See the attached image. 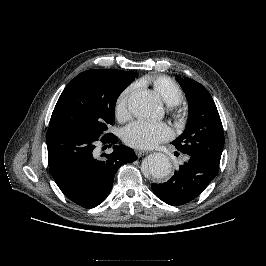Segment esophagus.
Masks as SVG:
<instances>
[{
  "label": "esophagus",
  "mask_w": 266,
  "mask_h": 266,
  "mask_svg": "<svg viewBox=\"0 0 266 266\" xmlns=\"http://www.w3.org/2000/svg\"><path fill=\"white\" fill-rule=\"evenodd\" d=\"M135 153H136V155H137L138 157H143V156H145V155L148 154L147 151H143V150H135Z\"/></svg>",
  "instance_id": "34e87169"
}]
</instances>
